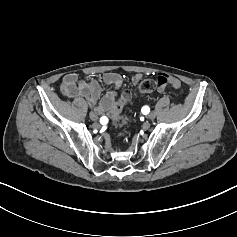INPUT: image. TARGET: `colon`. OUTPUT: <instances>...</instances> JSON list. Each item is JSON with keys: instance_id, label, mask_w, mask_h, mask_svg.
I'll list each match as a JSON object with an SVG mask.
<instances>
[{"instance_id": "1", "label": "colon", "mask_w": 237, "mask_h": 237, "mask_svg": "<svg viewBox=\"0 0 237 237\" xmlns=\"http://www.w3.org/2000/svg\"><path fill=\"white\" fill-rule=\"evenodd\" d=\"M156 84H158L159 86L170 84L175 88L180 86V82L177 79L170 77L166 74L159 73L156 75L155 81L152 79H144L140 81V83L138 84V90L140 93L148 94V93H151L155 89ZM125 104H126V99L121 98L115 104V106L110 112L112 123L116 127H122L127 123V118L122 114V110Z\"/></svg>"}]
</instances>
